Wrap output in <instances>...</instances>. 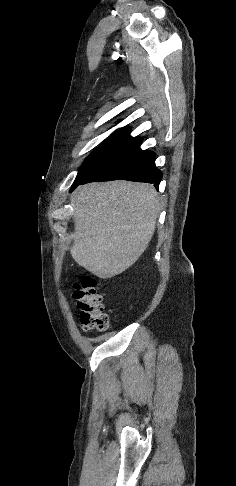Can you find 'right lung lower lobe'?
<instances>
[{
	"instance_id": "1",
	"label": "right lung lower lobe",
	"mask_w": 236,
	"mask_h": 486,
	"mask_svg": "<svg viewBox=\"0 0 236 486\" xmlns=\"http://www.w3.org/2000/svg\"><path fill=\"white\" fill-rule=\"evenodd\" d=\"M141 142V138L134 137L90 172L79 184L122 179L148 182L158 188L162 173L155 166L156 155L154 152L141 150Z\"/></svg>"
}]
</instances>
